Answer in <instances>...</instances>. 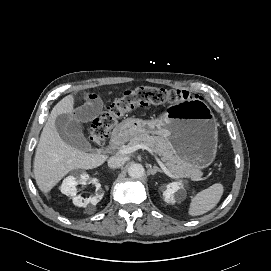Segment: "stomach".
Listing matches in <instances>:
<instances>
[{"instance_id":"0dacf381","label":"stomach","mask_w":271,"mask_h":271,"mask_svg":"<svg viewBox=\"0 0 271 271\" xmlns=\"http://www.w3.org/2000/svg\"><path fill=\"white\" fill-rule=\"evenodd\" d=\"M217 122L206 103L200 100L170 105L157 119L129 118L117 127V133L131 139L143 133L159 134L178 156L198 169L215 159L218 142Z\"/></svg>"}]
</instances>
